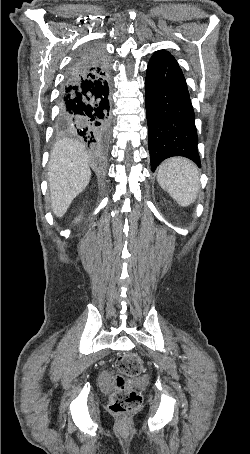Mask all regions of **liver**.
Returning a JSON list of instances; mask_svg holds the SVG:
<instances>
[{
	"mask_svg": "<svg viewBox=\"0 0 250 454\" xmlns=\"http://www.w3.org/2000/svg\"><path fill=\"white\" fill-rule=\"evenodd\" d=\"M91 171L84 146L72 139L56 142L50 154L48 182L51 208L62 217L89 184Z\"/></svg>",
	"mask_w": 250,
	"mask_h": 454,
	"instance_id": "liver-1",
	"label": "liver"
}]
</instances>
